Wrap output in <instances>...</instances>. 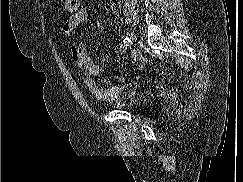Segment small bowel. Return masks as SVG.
Segmentation results:
<instances>
[{
    "label": "small bowel",
    "instance_id": "1",
    "mask_svg": "<svg viewBox=\"0 0 243 182\" xmlns=\"http://www.w3.org/2000/svg\"><path fill=\"white\" fill-rule=\"evenodd\" d=\"M87 16V9L80 8L76 13L68 16L62 24V31L70 41L71 59L77 69L82 73L83 84L96 99L100 101L115 100L124 89V78L120 77L118 82L109 88H101L95 80V77L101 72V66L91 59L86 45L82 41H78L75 36L77 26L84 22ZM125 52L126 48L121 45L119 53L124 54ZM132 59L138 63L140 69L144 68L145 60L140 52L135 51L132 54Z\"/></svg>",
    "mask_w": 243,
    "mask_h": 182
}]
</instances>
